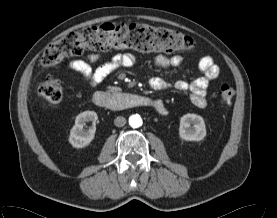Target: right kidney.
I'll use <instances>...</instances> for the list:
<instances>
[{"label": "right kidney", "instance_id": "ca27d5eb", "mask_svg": "<svg viewBox=\"0 0 277 218\" xmlns=\"http://www.w3.org/2000/svg\"><path fill=\"white\" fill-rule=\"evenodd\" d=\"M97 119L98 116L94 111H84L77 115L75 125L72 127L69 136V142L73 147L83 148L90 144L95 136ZM88 122H93V126L89 130H85L84 126Z\"/></svg>", "mask_w": 277, "mask_h": 218}]
</instances>
